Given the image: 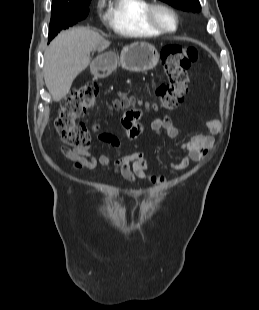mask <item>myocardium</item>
<instances>
[{
  "label": "myocardium",
  "instance_id": "1",
  "mask_svg": "<svg viewBox=\"0 0 259 310\" xmlns=\"http://www.w3.org/2000/svg\"><path fill=\"white\" fill-rule=\"evenodd\" d=\"M161 10L169 13L173 17V20H174L173 28H167L158 21L157 12ZM146 21L153 29H155L156 31L162 34L174 33L177 31L179 27V17L176 11L170 6L161 4V3L150 5V7L147 9V12H146Z\"/></svg>",
  "mask_w": 259,
  "mask_h": 310
}]
</instances>
